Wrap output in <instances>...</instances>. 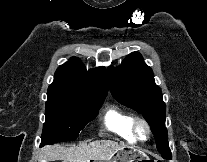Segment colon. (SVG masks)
Instances as JSON below:
<instances>
[{
    "label": "colon",
    "instance_id": "obj_1",
    "mask_svg": "<svg viewBox=\"0 0 207 162\" xmlns=\"http://www.w3.org/2000/svg\"><path fill=\"white\" fill-rule=\"evenodd\" d=\"M144 162H161V161H157V160H146Z\"/></svg>",
    "mask_w": 207,
    "mask_h": 162
}]
</instances>
